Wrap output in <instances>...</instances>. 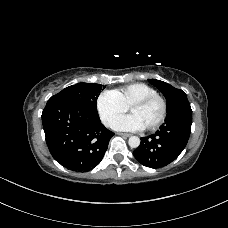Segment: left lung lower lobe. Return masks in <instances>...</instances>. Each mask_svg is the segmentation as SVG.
I'll return each mask as SVG.
<instances>
[{
    "instance_id": "left-lung-lower-lobe-1",
    "label": "left lung lower lobe",
    "mask_w": 228,
    "mask_h": 228,
    "mask_svg": "<svg viewBox=\"0 0 228 228\" xmlns=\"http://www.w3.org/2000/svg\"><path fill=\"white\" fill-rule=\"evenodd\" d=\"M181 112L167 113L165 123L160 129L141 138L139 147L133 151L138 162L150 168H160L174 161L185 148L192 124V110L189 102L180 106Z\"/></svg>"
}]
</instances>
